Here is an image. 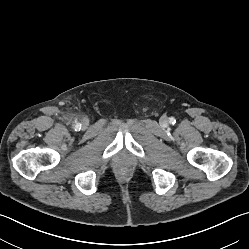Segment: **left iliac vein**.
Masks as SVG:
<instances>
[{
	"instance_id": "obj_1",
	"label": "left iliac vein",
	"mask_w": 249,
	"mask_h": 249,
	"mask_svg": "<svg viewBox=\"0 0 249 249\" xmlns=\"http://www.w3.org/2000/svg\"><path fill=\"white\" fill-rule=\"evenodd\" d=\"M160 123L163 126H167L168 125V119H167V117L166 116H162L161 119H160Z\"/></svg>"
}]
</instances>
